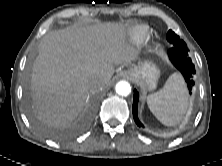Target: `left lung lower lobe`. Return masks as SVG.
Wrapping results in <instances>:
<instances>
[{"label": "left lung lower lobe", "mask_w": 222, "mask_h": 166, "mask_svg": "<svg viewBox=\"0 0 222 166\" xmlns=\"http://www.w3.org/2000/svg\"><path fill=\"white\" fill-rule=\"evenodd\" d=\"M168 55L173 65L182 73L187 83L189 93L191 94L192 86L194 85L193 75L195 74V66L189 56L188 48L173 45L172 48L168 50ZM138 100L139 93L134 90L133 118L139 127H143V124L140 122L137 115Z\"/></svg>", "instance_id": "obj_1"}]
</instances>
